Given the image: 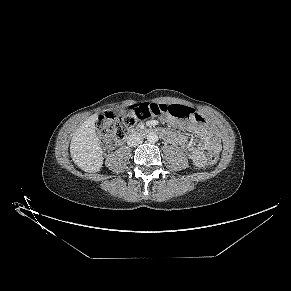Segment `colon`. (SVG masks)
I'll list each match as a JSON object with an SVG mask.
<instances>
[{"label":"colon","instance_id":"colon-1","mask_svg":"<svg viewBox=\"0 0 291 291\" xmlns=\"http://www.w3.org/2000/svg\"><path fill=\"white\" fill-rule=\"evenodd\" d=\"M162 114L187 119H198L200 117L195 110L180 104H140L132 106L129 111L122 115L112 112L104 113L96 125L97 136L101 141L122 139L138 121ZM218 158V152L212 151L207 160L209 164H215Z\"/></svg>","mask_w":291,"mask_h":291}]
</instances>
